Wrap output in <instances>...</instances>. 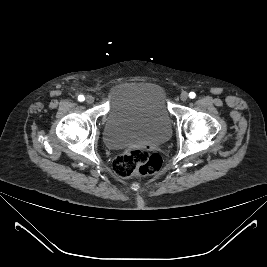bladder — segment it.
Masks as SVG:
<instances>
[{
	"mask_svg": "<svg viewBox=\"0 0 267 267\" xmlns=\"http://www.w3.org/2000/svg\"><path fill=\"white\" fill-rule=\"evenodd\" d=\"M172 117L165 90L153 82H122L111 91L102 137L110 148L130 144L165 142Z\"/></svg>",
	"mask_w": 267,
	"mask_h": 267,
	"instance_id": "1",
	"label": "bladder"
}]
</instances>
